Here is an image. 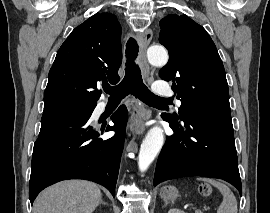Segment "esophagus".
I'll list each match as a JSON object with an SVG mask.
<instances>
[{
  "instance_id": "obj_1",
  "label": "esophagus",
  "mask_w": 270,
  "mask_h": 213,
  "mask_svg": "<svg viewBox=\"0 0 270 213\" xmlns=\"http://www.w3.org/2000/svg\"><path fill=\"white\" fill-rule=\"evenodd\" d=\"M153 33L151 29H146L142 33H138V42L140 45L138 61L142 69L144 77L149 76L150 67L146 59V50L152 40ZM151 112L145 107L138 106L134 109L133 122L130 130L136 135H141L145 131V122L150 118Z\"/></svg>"
}]
</instances>
